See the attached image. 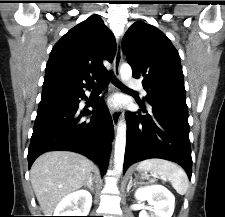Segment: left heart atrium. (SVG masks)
Here are the masks:
<instances>
[{
	"label": "left heart atrium",
	"instance_id": "left-heart-atrium-1",
	"mask_svg": "<svg viewBox=\"0 0 225 217\" xmlns=\"http://www.w3.org/2000/svg\"><path fill=\"white\" fill-rule=\"evenodd\" d=\"M118 104H119V101L116 98L109 99V101H108V105L112 108L117 107Z\"/></svg>",
	"mask_w": 225,
	"mask_h": 217
}]
</instances>
